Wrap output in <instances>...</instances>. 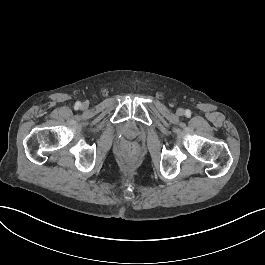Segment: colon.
<instances>
[{"instance_id":"1","label":"colon","mask_w":265,"mask_h":265,"mask_svg":"<svg viewBox=\"0 0 265 265\" xmlns=\"http://www.w3.org/2000/svg\"><path fill=\"white\" fill-rule=\"evenodd\" d=\"M126 150H127V152L132 153V152H134L135 147H134V145L129 144V145H127V147H126Z\"/></svg>"}]
</instances>
